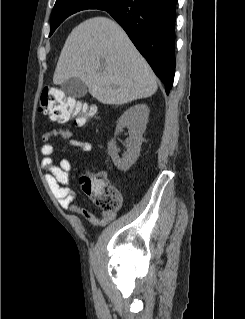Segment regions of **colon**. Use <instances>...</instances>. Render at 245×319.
<instances>
[{
	"mask_svg": "<svg viewBox=\"0 0 245 319\" xmlns=\"http://www.w3.org/2000/svg\"><path fill=\"white\" fill-rule=\"evenodd\" d=\"M40 100L41 111L58 121L75 119L78 125H85L98 115L94 106L68 97L56 88H45ZM80 185L83 192L103 211L113 212L120 208V192L111 184L106 172L99 171L95 174L85 172L80 177Z\"/></svg>",
	"mask_w": 245,
	"mask_h": 319,
	"instance_id": "1",
	"label": "colon"
}]
</instances>
